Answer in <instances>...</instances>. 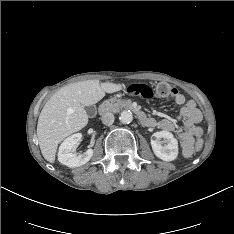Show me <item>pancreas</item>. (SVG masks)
<instances>
[{
    "instance_id": "obj_1",
    "label": "pancreas",
    "mask_w": 234,
    "mask_h": 234,
    "mask_svg": "<svg viewBox=\"0 0 234 234\" xmlns=\"http://www.w3.org/2000/svg\"><path fill=\"white\" fill-rule=\"evenodd\" d=\"M117 105L114 99H109L104 102L103 107L105 111H115Z\"/></svg>"
}]
</instances>
